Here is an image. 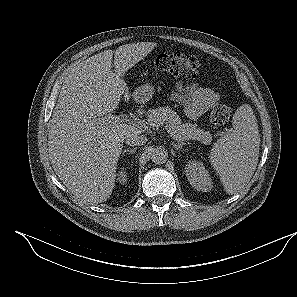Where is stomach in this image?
<instances>
[{
    "label": "stomach",
    "instance_id": "obj_1",
    "mask_svg": "<svg viewBox=\"0 0 297 297\" xmlns=\"http://www.w3.org/2000/svg\"><path fill=\"white\" fill-rule=\"evenodd\" d=\"M154 94V87L149 84L146 83L143 86L138 87L134 93H133V98L137 101V102H147L149 101L152 96Z\"/></svg>",
    "mask_w": 297,
    "mask_h": 297
}]
</instances>
